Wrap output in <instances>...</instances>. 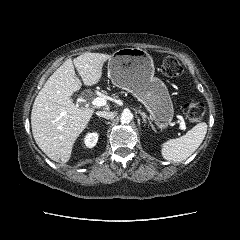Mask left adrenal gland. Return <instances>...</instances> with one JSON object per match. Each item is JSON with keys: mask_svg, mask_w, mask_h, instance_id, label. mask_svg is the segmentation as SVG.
I'll return each mask as SVG.
<instances>
[{"mask_svg": "<svg viewBox=\"0 0 240 240\" xmlns=\"http://www.w3.org/2000/svg\"><path fill=\"white\" fill-rule=\"evenodd\" d=\"M139 114L142 115L143 121L145 124H147V120H148V125L154 130V126L152 124L151 118H149L144 112H142L141 110L138 111Z\"/></svg>", "mask_w": 240, "mask_h": 240, "instance_id": "left-adrenal-gland-1", "label": "left adrenal gland"}]
</instances>
